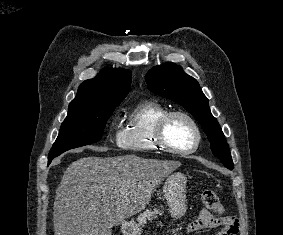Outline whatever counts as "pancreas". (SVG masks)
<instances>
[{
    "label": "pancreas",
    "mask_w": 283,
    "mask_h": 235,
    "mask_svg": "<svg viewBox=\"0 0 283 235\" xmlns=\"http://www.w3.org/2000/svg\"><path fill=\"white\" fill-rule=\"evenodd\" d=\"M162 211L158 209L151 210H145L142 214H140L137 218V222L139 226H143L147 223V221L153 220V218H156L158 215H161Z\"/></svg>",
    "instance_id": "cf45deb5"
}]
</instances>
